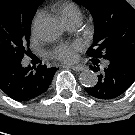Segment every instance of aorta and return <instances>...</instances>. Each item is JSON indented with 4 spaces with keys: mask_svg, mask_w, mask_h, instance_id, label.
Here are the masks:
<instances>
[{
    "mask_svg": "<svg viewBox=\"0 0 135 135\" xmlns=\"http://www.w3.org/2000/svg\"><path fill=\"white\" fill-rule=\"evenodd\" d=\"M62 31L61 22L52 16L43 17L36 23L37 35L46 42H53L59 39ZM79 79L81 84L86 87H93L98 82L97 74L90 69L82 71Z\"/></svg>",
    "mask_w": 135,
    "mask_h": 135,
    "instance_id": "762f6f07",
    "label": "aorta"
}]
</instances>
